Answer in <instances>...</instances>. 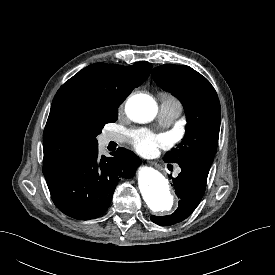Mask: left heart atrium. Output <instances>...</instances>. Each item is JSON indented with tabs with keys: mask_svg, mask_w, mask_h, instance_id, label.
<instances>
[{
	"mask_svg": "<svg viewBox=\"0 0 275 275\" xmlns=\"http://www.w3.org/2000/svg\"><path fill=\"white\" fill-rule=\"evenodd\" d=\"M135 148L141 153H154L158 148L169 145V138L163 134H154L145 129L130 132Z\"/></svg>",
	"mask_w": 275,
	"mask_h": 275,
	"instance_id": "1",
	"label": "left heart atrium"
}]
</instances>
